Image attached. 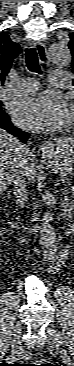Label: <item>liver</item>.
<instances>
[{"label": "liver", "instance_id": "obj_1", "mask_svg": "<svg viewBox=\"0 0 74 366\" xmlns=\"http://www.w3.org/2000/svg\"><path fill=\"white\" fill-rule=\"evenodd\" d=\"M22 144L16 137L7 133L5 130H0V190L6 189L9 182L12 181L13 175L18 169L21 160L20 146ZM26 146V145H25ZM26 163L24 173L29 183L34 182L38 175V168L31 152L25 157Z\"/></svg>", "mask_w": 74, "mask_h": 366}]
</instances>
